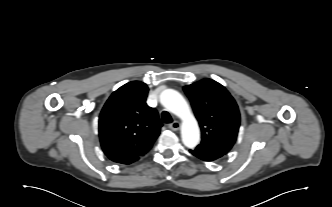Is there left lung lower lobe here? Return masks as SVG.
<instances>
[{
  "label": "left lung lower lobe",
  "mask_w": 332,
  "mask_h": 207,
  "mask_svg": "<svg viewBox=\"0 0 332 207\" xmlns=\"http://www.w3.org/2000/svg\"><path fill=\"white\" fill-rule=\"evenodd\" d=\"M189 152L193 156H195V157H197V158H199L203 161H208V162L214 161V160L222 157V155H220L218 153H214V152H210V151H206V150H201V149H197V148H195L193 150H189Z\"/></svg>",
  "instance_id": "1"
}]
</instances>
